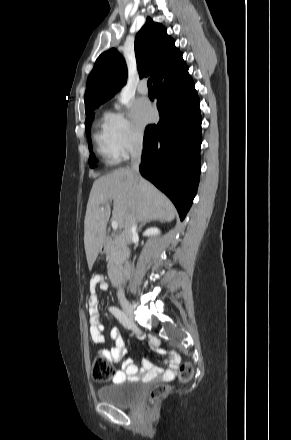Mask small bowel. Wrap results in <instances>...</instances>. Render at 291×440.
I'll use <instances>...</instances> for the list:
<instances>
[{"label":"small bowel","instance_id":"small-bowel-1","mask_svg":"<svg viewBox=\"0 0 291 440\" xmlns=\"http://www.w3.org/2000/svg\"><path fill=\"white\" fill-rule=\"evenodd\" d=\"M97 287L100 289L107 288V284L101 275H95L91 278L89 282L90 295L87 299L90 315V335L93 343L96 346H100L104 343L105 338L103 324L98 313V297L96 295ZM110 336L113 341L112 348L110 350L99 348L98 354L106 358L110 363L117 364L124 358L127 350L124 339L117 329H112ZM149 348L161 351L158 349V340L154 337L150 339ZM165 361L168 363L167 370L155 366L149 360H144L142 362V367L138 368L131 359H127L124 361L122 369L113 373V380L114 382H118L128 377L130 380L142 378L145 381H149L158 376H163L164 378L175 376L181 363L180 356L177 353L172 352Z\"/></svg>","mask_w":291,"mask_h":440}]
</instances>
